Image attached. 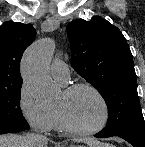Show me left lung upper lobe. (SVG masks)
<instances>
[{"label": "left lung upper lobe", "instance_id": "obj_1", "mask_svg": "<svg viewBox=\"0 0 145 147\" xmlns=\"http://www.w3.org/2000/svg\"><path fill=\"white\" fill-rule=\"evenodd\" d=\"M73 69L103 96L109 117L105 134L145 136L132 54L121 31L101 17L67 26Z\"/></svg>", "mask_w": 145, "mask_h": 147}]
</instances>
